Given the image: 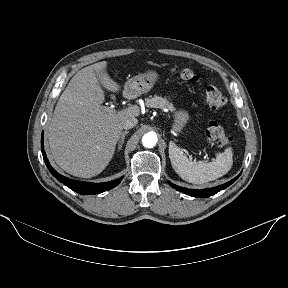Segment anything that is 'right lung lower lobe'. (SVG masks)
I'll return each instance as SVG.
<instances>
[{
	"label": "right lung lower lobe",
	"instance_id": "obj_1",
	"mask_svg": "<svg viewBox=\"0 0 288 288\" xmlns=\"http://www.w3.org/2000/svg\"><path fill=\"white\" fill-rule=\"evenodd\" d=\"M42 139H41V149H42V155L43 159L46 163L47 168L51 172V174L61 183L69 187L71 190L81 194V195H90V194H99L101 192L110 190L117 186L123 177H120L117 180L105 182V183H91V182H83V181H75L72 179H69L67 177H64L63 175L59 174L56 170L52 168L50 165L47 156L44 151V140H43V133H42Z\"/></svg>",
	"mask_w": 288,
	"mask_h": 288
}]
</instances>
